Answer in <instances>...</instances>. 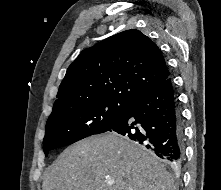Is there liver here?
Segmentation results:
<instances>
[{
  "instance_id": "1",
  "label": "liver",
  "mask_w": 221,
  "mask_h": 190,
  "mask_svg": "<svg viewBox=\"0 0 221 190\" xmlns=\"http://www.w3.org/2000/svg\"><path fill=\"white\" fill-rule=\"evenodd\" d=\"M109 178L113 184L106 182ZM42 190H175V186L145 149L108 133L65 149L46 170Z\"/></svg>"
}]
</instances>
